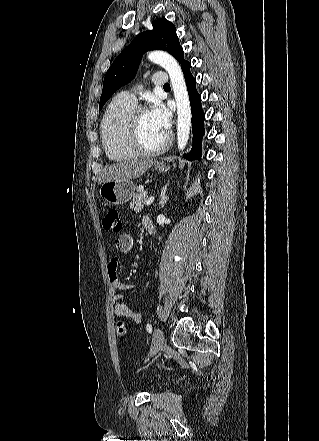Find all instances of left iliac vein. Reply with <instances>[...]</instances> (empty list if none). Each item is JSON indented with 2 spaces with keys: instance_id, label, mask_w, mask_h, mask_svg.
Instances as JSON below:
<instances>
[{
  "instance_id": "1",
  "label": "left iliac vein",
  "mask_w": 319,
  "mask_h": 441,
  "mask_svg": "<svg viewBox=\"0 0 319 441\" xmlns=\"http://www.w3.org/2000/svg\"><path fill=\"white\" fill-rule=\"evenodd\" d=\"M164 345V335L161 329H155L152 338L150 355L156 354Z\"/></svg>"
}]
</instances>
